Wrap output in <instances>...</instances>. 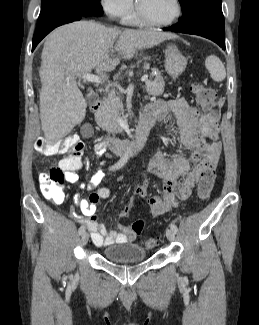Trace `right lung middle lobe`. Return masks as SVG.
<instances>
[{"label":"right lung middle lobe","mask_w":259,"mask_h":325,"mask_svg":"<svg viewBox=\"0 0 259 325\" xmlns=\"http://www.w3.org/2000/svg\"><path fill=\"white\" fill-rule=\"evenodd\" d=\"M64 10H75L86 16L103 14L100 0H41V12L37 24L51 14Z\"/></svg>","instance_id":"1"}]
</instances>
